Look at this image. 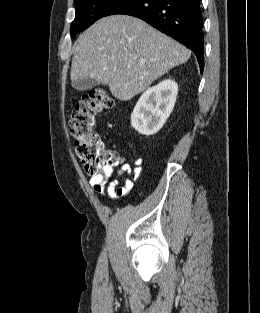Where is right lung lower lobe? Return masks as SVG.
Returning <instances> with one entry per match:
<instances>
[{
  "label": "right lung lower lobe",
  "mask_w": 260,
  "mask_h": 313,
  "mask_svg": "<svg viewBox=\"0 0 260 313\" xmlns=\"http://www.w3.org/2000/svg\"><path fill=\"white\" fill-rule=\"evenodd\" d=\"M126 14L143 19L190 48L204 68V34L200 0H118L103 17Z\"/></svg>",
  "instance_id": "1"
}]
</instances>
